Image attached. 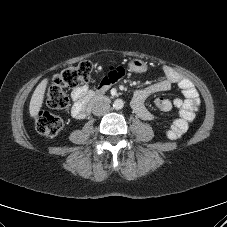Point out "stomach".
Returning a JSON list of instances; mask_svg holds the SVG:
<instances>
[{
	"label": "stomach",
	"mask_w": 227,
	"mask_h": 227,
	"mask_svg": "<svg viewBox=\"0 0 227 227\" xmlns=\"http://www.w3.org/2000/svg\"><path fill=\"white\" fill-rule=\"evenodd\" d=\"M128 66L131 72H136V73H143V72H146L148 69L147 62H144L140 59H132L129 62Z\"/></svg>",
	"instance_id": "0dacf381"
}]
</instances>
